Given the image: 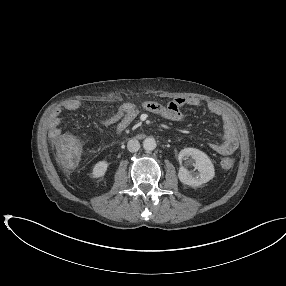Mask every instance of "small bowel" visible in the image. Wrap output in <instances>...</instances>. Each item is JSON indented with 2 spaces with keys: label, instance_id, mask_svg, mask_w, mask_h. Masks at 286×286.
I'll list each match as a JSON object with an SVG mask.
<instances>
[{
  "label": "small bowel",
  "instance_id": "small-bowel-1",
  "mask_svg": "<svg viewBox=\"0 0 286 286\" xmlns=\"http://www.w3.org/2000/svg\"><path fill=\"white\" fill-rule=\"evenodd\" d=\"M200 101L197 98L178 97L166 103L156 101H145L142 108L150 113L160 115L172 121H183L186 115L183 112L185 106H198ZM83 103L73 100L64 106V110L75 112L82 109ZM210 113L218 116L224 127V135L221 143H209L208 146L213 151L224 156L232 155L239 146L236 127L231 114L216 103H209L207 106ZM63 109L56 108L50 117V136L54 138L61 132L60 123ZM139 109L133 103H124L120 105L113 113L109 115H100L98 117L99 124L103 126L115 125V132L121 135L137 118Z\"/></svg>",
  "mask_w": 286,
  "mask_h": 286
}]
</instances>
